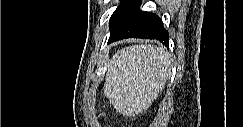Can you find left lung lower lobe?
I'll use <instances>...</instances> for the list:
<instances>
[{
    "mask_svg": "<svg viewBox=\"0 0 243 127\" xmlns=\"http://www.w3.org/2000/svg\"><path fill=\"white\" fill-rule=\"evenodd\" d=\"M141 0H122L110 18L108 44L125 38L157 39L169 47V34L156 14L140 10Z\"/></svg>",
    "mask_w": 243,
    "mask_h": 127,
    "instance_id": "0a47b994",
    "label": "left lung lower lobe"
}]
</instances>
